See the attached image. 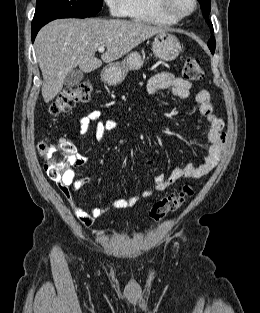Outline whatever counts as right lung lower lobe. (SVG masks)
<instances>
[{"label": "right lung lower lobe", "instance_id": "1", "mask_svg": "<svg viewBox=\"0 0 260 313\" xmlns=\"http://www.w3.org/2000/svg\"><path fill=\"white\" fill-rule=\"evenodd\" d=\"M52 20H54V19H52V18L33 19V21H32V41H34L40 28Z\"/></svg>", "mask_w": 260, "mask_h": 313}]
</instances>
